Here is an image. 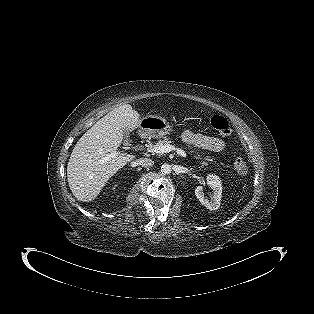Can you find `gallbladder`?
<instances>
[{
  "label": "gallbladder",
  "mask_w": 314,
  "mask_h": 314,
  "mask_svg": "<svg viewBox=\"0 0 314 314\" xmlns=\"http://www.w3.org/2000/svg\"><path fill=\"white\" fill-rule=\"evenodd\" d=\"M124 136L126 138L125 143H129L131 141L130 140V136H129V132L128 131H124Z\"/></svg>",
  "instance_id": "bac80fb5"
}]
</instances>
